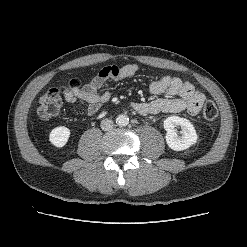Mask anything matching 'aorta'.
I'll list each match as a JSON object with an SVG mask.
<instances>
[{
    "label": "aorta",
    "mask_w": 247,
    "mask_h": 247,
    "mask_svg": "<svg viewBox=\"0 0 247 247\" xmlns=\"http://www.w3.org/2000/svg\"><path fill=\"white\" fill-rule=\"evenodd\" d=\"M116 123L119 126H127L128 123H129V118L126 115H123V114L122 115H119L116 118Z\"/></svg>",
    "instance_id": "1"
}]
</instances>
